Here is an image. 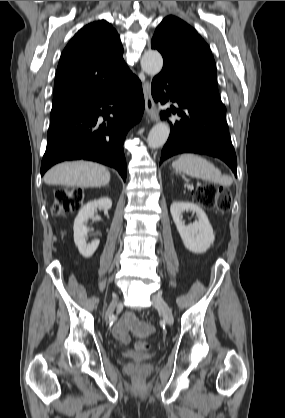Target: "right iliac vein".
<instances>
[{"label": "right iliac vein", "instance_id": "63e3f726", "mask_svg": "<svg viewBox=\"0 0 285 418\" xmlns=\"http://www.w3.org/2000/svg\"><path fill=\"white\" fill-rule=\"evenodd\" d=\"M118 305H119V299H118V297H117V296H114V298H113V300H112V302H111V305H110V307H109L108 314H107V317H108V318H109V317H111V315L113 314V311L115 310V308H116Z\"/></svg>", "mask_w": 285, "mask_h": 418}]
</instances>
